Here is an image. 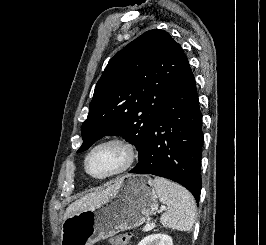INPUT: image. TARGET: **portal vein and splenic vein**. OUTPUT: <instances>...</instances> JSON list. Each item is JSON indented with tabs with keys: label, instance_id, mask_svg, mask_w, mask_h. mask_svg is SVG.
I'll return each mask as SVG.
<instances>
[{
	"label": "portal vein and splenic vein",
	"instance_id": "1",
	"mask_svg": "<svg viewBox=\"0 0 266 245\" xmlns=\"http://www.w3.org/2000/svg\"><path fill=\"white\" fill-rule=\"evenodd\" d=\"M166 207H160V211H165ZM155 223H151V225H146L144 231H152L154 229Z\"/></svg>",
	"mask_w": 266,
	"mask_h": 245
}]
</instances>
